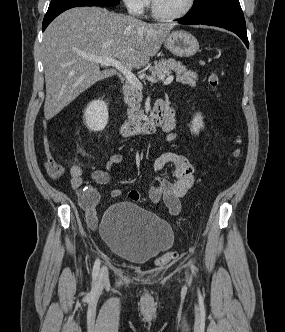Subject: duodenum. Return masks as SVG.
<instances>
[{"instance_id":"1","label":"duodenum","mask_w":285,"mask_h":332,"mask_svg":"<svg viewBox=\"0 0 285 332\" xmlns=\"http://www.w3.org/2000/svg\"><path fill=\"white\" fill-rule=\"evenodd\" d=\"M171 112L163 100H157L151 116L144 122H125L119 127L120 134L124 137L153 134L158 127L164 126L169 120Z\"/></svg>"}]
</instances>
